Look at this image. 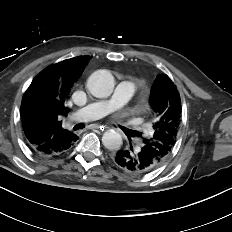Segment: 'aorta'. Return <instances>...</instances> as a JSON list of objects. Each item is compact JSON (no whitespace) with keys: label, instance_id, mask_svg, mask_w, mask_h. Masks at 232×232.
Instances as JSON below:
<instances>
[{"label":"aorta","instance_id":"obj_1","mask_svg":"<svg viewBox=\"0 0 232 232\" xmlns=\"http://www.w3.org/2000/svg\"><path fill=\"white\" fill-rule=\"evenodd\" d=\"M87 87L93 96L106 98L113 91L114 78L110 72L100 70L90 76ZM102 143L108 150H117L122 145V136L113 129L107 130L103 134Z\"/></svg>","mask_w":232,"mask_h":232}]
</instances>
